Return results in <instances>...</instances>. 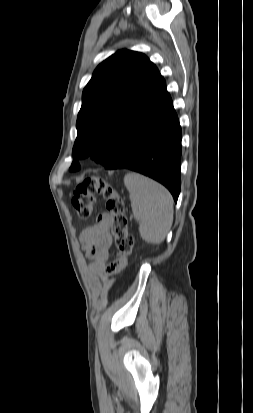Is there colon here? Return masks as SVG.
I'll return each instance as SVG.
<instances>
[{
	"instance_id": "1",
	"label": "colon",
	"mask_w": 253,
	"mask_h": 413,
	"mask_svg": "<svg viewBox=\"0 0 253 413\" xmlns=\"http://www.w3.org/2000/svg\"><path fill=\"white\" fill-rule=\"evenodd\" d=\"M95 194L106 201L107 212L112 217V234L119 260H128L133 251L134 240L128 232L125 205L119 192L100 177H86L79 182L73 192L71 204L80 219H88L95 208Z\"/></svg>"
}]
</instances>
